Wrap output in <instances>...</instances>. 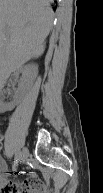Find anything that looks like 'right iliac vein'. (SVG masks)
Segmentation results:
<instances>
[{
  "label": "right iliac vein",
  "instance_id": "1",
  "mask_svg": "<svg viewBox=\"0 0 103 193\" xmlns=\"http://www.w3.org/2000/svg\"><path fill=\"white\" fill-rule=\"evenodd\" d=\"M29 156V152L27 148H23L22 152H21V162L24 163L27 158Z\"/></svg>",
  "mask_w": 103,
  "mask_h": 193
}]
</instances>
